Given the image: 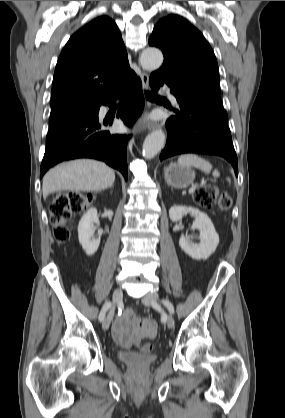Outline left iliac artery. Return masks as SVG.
<instances>
[{
	"label": "left iliac artery",
	"mask_w": 285,
	"mask_h": 418,
	"mask_svg": "<svg viewBox=\"0 0 285 418\" xmlns=\"http://www.w3.org/2000/svg\"><path fill=\"white\" fill-rule=\"evenodd\" d=\"M162 302L166 306V308L168 309V311L171 314H173L174 313V306H173V304L169 300H167V299H163Z\"/></svg>",
	"instance_id": "44dca946"
}]
</instances>
